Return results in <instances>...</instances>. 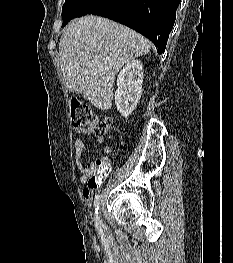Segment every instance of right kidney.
I'll list each match as a JSON object with an SVG mask.
<instances>
[{"mask_svg": "<svg viewBox=\"0 0 233 263\" xmlns=\"http://www.w3.org/2000/svg\"><path fill=\"white\" fill-rule=\"evenodd\" d=\"M143 65L138 60L126 63L117 78L115 104L123 117H128L136 109L142 94Z\"/></svg>", "mask_w": 233, "mask_h": 263, "instance_id": "obj_1", "label": "right kidney"}]
</instances>
